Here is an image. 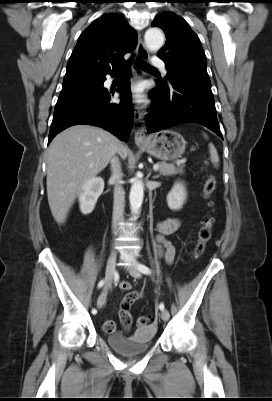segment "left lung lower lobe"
<instances>
[{
	"label": "left lung lower lobe",
	"mask_w": 272,
	"mask_h": 401,
	"mask_svg": "<svg viewBox=\"0 0 272 401\" xmlns=\"http://www.w3.org/2000/svg\"><path fill=\"white\" fill-rule=\"evenodd\" d=\"M149 94L158 106L145 119L150 133L191 122L209 128L223 139L211 86L172 79L169 84L159 83Z\"/></svg>",
	"instance_id": "0a47b994"
}]
</instances>
